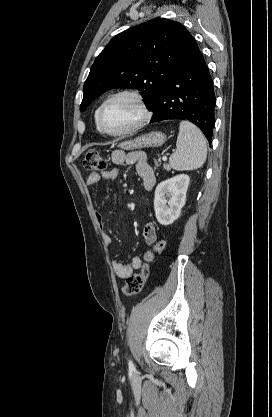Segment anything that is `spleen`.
<instances>
[{
  "label": "spleen",
  "instance_id": "spleen-1",
  "mask_svg": "<svg viewBox=\"0 0 272 417\" xmlns=\"http://www.w3.org/2000/svg\"><path fill=\"white\" fill-rule=\"evenodd\" d=\"M207 157L206 139L192 123L181 121L176 141V151L169 164L177 171L195 170L203 166Z\"/></svg>",
  "mask_w": 272,
  "mask_h": 417
}]
</instances>
